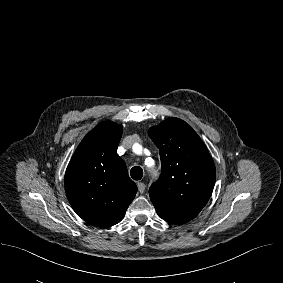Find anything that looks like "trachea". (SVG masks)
Instances as JSON below:
<instances>
[{
    "label": "trachea",
    "mask_w": 283,
    "mask_h": 283,
    "mask_svg": "<svg viewBox=\"0 0 283 283\" xmlns=\"http://www.w3.org/2000/svg\"><path fill=\"white\" fill-rule=\"evenodd\" d=\"M130 175L134 180H140L143 176V170L141 167L134 166L130 170Z\"/></svg>",
    "instance_id": "trachea-1"
}]
</instances>
